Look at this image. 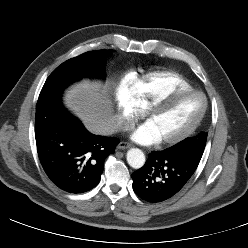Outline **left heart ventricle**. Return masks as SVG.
<instances>
[{"label":"left heart ventricle","mask_w":248,"mask_h":248,"mask_svg":"<svg viewBox=\"0 0 248 248\" xmlns=\"http://www.w3.org/2000/svg\"><path fill=\"white\" fill-rule=\"evenodd\" d=\"M203 99L199 95H187L174 100L148 119L160 139L175 136L189 127L199 116Z\"/></svg>","instance_id":"obj_1"}]
</instances>
